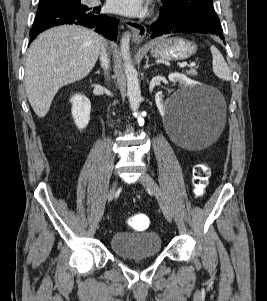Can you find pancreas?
Segmentation results:
<instances>
[{"instance_id": "obj_1", "label": "pancreas", "mask_w": 267, "mask_h": 301, "mask_svg": "<svg viewBox=\"0 0 267 301\" xmlns=\"http://www.w3.org/2000/svg\"><path fill=\"white\" fill-rule=\"evenodd\" d=\"M187 74H188V75H192V76H196V75H197V72H196V70L191 69L190 71H187Z\"/></svg>"}]
</instances>
